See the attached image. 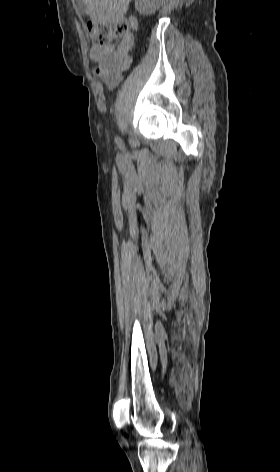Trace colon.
<instances>
[{
	"instance_id": "1",
	"label": "colon",
	"mask_w": 280,
	"mask_h": 472,
	"mask_svg": "<svg viewBox=\"0 0 280 472\" xmlns=\"http://www.w3.org/2000/svg\"><path fill=\"white\" fill-rule=\"evenodd\" d=\"M130 27L131 24L127 21H122L106 27L90 22L88 24V31L94 46L103 47L110 45L114 38L127 35L130 31Z\"/></svg>"
}]
</instances>
